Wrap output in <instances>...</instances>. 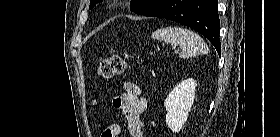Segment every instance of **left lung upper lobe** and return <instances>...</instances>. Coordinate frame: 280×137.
<instances>
[{
	"label": "left lung upper lobe",
	"instance_id": "left-lung-upper-lobe-1",
	"mask_svg": "<svg viewBox=\"0 0 280 137\" xmlns=\"http://www.w3.org/2000/svg\"><path fill=\"white\" fill-rule=\"evenodd\" d=\"M102 0H90L89 8H93L98 2ZM161 0H132L131 10L138 14H144L157 5Z\"/></svg>",
	"mask_w": 280,
	"mask_h": 137
}]
</instances>
